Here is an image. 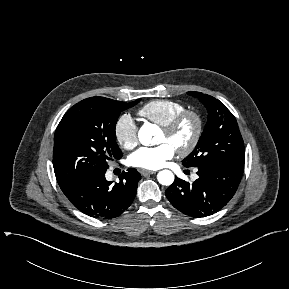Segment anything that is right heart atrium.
I'll return each mask as SVG.
<instances>
[{
    "label": "right heart atrium",
    "instance_id": "d8ad5b80",
    "mask_svg": "<svg viewBox=\"0 0 289 289\" xmlns=\"http://www.w3.org/2000/svg\"><path fill=\"white\" fill-rule=\"evenodd\" d=\"M137 125L130 114L121 115L114 127L116 141L125 149H132L138 143Z\"/></svg>",
    "mask_w": 289,
    "mask_h": 289
}]
</instances>
